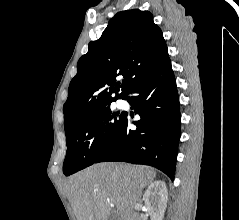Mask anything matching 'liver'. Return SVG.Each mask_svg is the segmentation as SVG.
<instances>
[{
  "mask_svg": "<svg viewBox=\"0 0 239 220\" xmlns=\"http://www.w3.org/2000/svg\"><path fill=\"white\" fill-rule=\"evenodd\" d=\"M155 177L149 167L99 163L71 176L65 191L77 220H108L110 203L117 207L118 220H131L142 190Z\"/></svg>",
  "mask_w": 239,
  "mask_h": 220,
  "instance_id": "liver-1",
  "label": "liver"
}]
</instances>
